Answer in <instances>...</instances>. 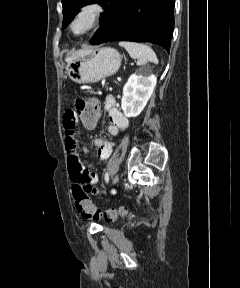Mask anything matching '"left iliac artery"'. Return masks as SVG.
I'll return each mask as SVG.
<instances>
[{"instance_id": "obj_1", "label": "left iliac artery", "mask_w": 240, "mask_h": 288, "mask_svg": "<svg viewBox=\"0 0 240 288\" xmlns=\"http://www.w3.org/2000/svg\"><path fill=\"white\" fill-rule=\"evenodd\" d=\"M105 181L108 183V181H109V174H108V172L105 174Z\"/></svg>"}]
</instances>
